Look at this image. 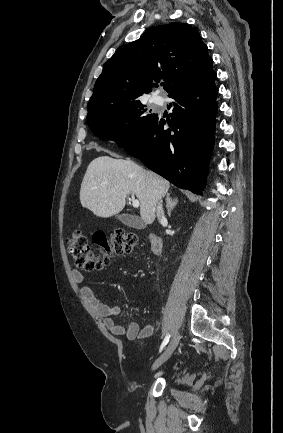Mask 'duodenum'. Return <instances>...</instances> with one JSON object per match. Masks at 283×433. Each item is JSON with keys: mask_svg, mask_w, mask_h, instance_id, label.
I'll return each mask as SVG.
<instances>
[{"mask_svg": "<svg viewBox=\"0 0 283 433\" xmlns=\"http://www.w3.org/2000/svg\"><path fill=\"white\" fill-rule=\"evenodd\" d=\"M149 240H150L151 251L155 255L161 254L163 251L162 239L156 235H150Z\"/></svg>", "mask_w": 283, "mask_h": 433, "instance_id": "1", "label": "duodenum"}]
</instances>
